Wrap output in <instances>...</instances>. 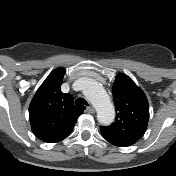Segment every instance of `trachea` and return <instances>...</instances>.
<instances>
[{"mask_svg": "<svg viewBox=\"0 0 176 176\" xmlns=\"http://www.w3.org/2000/svg\"><path fill=\"white\" fill-rule=\"evenodd\" d=\"M75 104H83V105L89 106L88 102L84 98L76 99Z\"/></svg>", "mask_w": 176, "mask_h": 176, "instance_id": "3493384b", "label": "trachea"}]
</instances>
